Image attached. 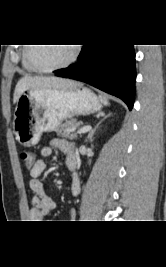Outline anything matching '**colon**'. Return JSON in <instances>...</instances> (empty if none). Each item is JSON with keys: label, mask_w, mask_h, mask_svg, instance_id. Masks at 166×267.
Segmentation results:
<instances>
[{"label": "colon", "mask_w": 166, "mask_h": 267, "mask_svg": "<svg viewBox=\"0 0 166 267\" xmlns=\"http://www.w3.org/2000/svg\"><path fill=\"white\" fill-rule=\"evenodd\" d=\"M21 159L24 161L25 165L30 168L35 163V155L31 151H22L21 152Z\"/></svg>", "instance_id": "1"}]
</instances>
